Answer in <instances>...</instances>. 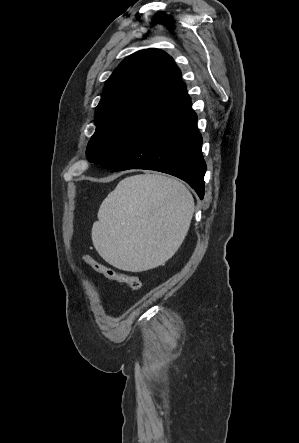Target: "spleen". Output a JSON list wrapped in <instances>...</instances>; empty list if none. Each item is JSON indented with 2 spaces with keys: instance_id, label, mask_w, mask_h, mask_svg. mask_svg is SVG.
Wrapping results in <instances>:
<instances>
[{
  "instance_id": "3e777b00",
  "label": "spleen",
  "mask_w": 299,
  "mask_h": 443,
  "mask_svg": "<svg viewBox=\"0 0 299 443\" xmlns=\"http://www.w3.org/2000/svg\"><path fill=\"white\" fill-rule=\"evenodd\" d=\"M194 200L184 184L158 174L123 179L102 202L92 241L110 265L140 272L178 250L190 227Z\"/></svg>"
}]
</instances>
